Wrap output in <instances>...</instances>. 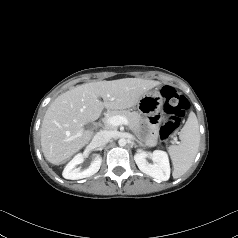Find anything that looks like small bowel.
Instances as JSON below:
<instances>
[{"instance_id":"c3829d8e","label":"small bowel","mask_w":238,"mask_h":238,"mask_svg":"<svg viewBox=\"0 0 238 238\" xmlns=\"http://www.w3.org/2000/svg\"><path fill=\"white\" fill-rule=\"evenodd\" d=\"M161 117L159 114L154 113L152 114L149 119L148 122L151 125V134H150V138H149V143L151 145H153L155 143L156 137H157V124L160 122Z\"/></svg>"}]
</instances>
